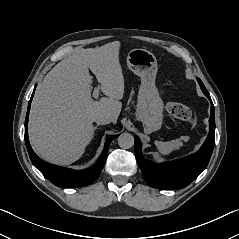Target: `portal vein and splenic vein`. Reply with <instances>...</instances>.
Instances as JSON below:
<instances>
[{
  "instance_id": "18ae733b",
  "label": "portal vein and splenic vein",
  "mask_w": 239,
  "mask_h": 239,
  "mask_svg": "<svg viewBox=\"0 0 239 239\" xmlns=\"http://www.w3.org/2000/svg\"><path fill=\"white\" fill-rule=\"evenodd\" d=\"M98 95H99V89H98V88H95L94 91H93L92 96H93L94 98H97Z\"/></svg>"
}]
</instances>
